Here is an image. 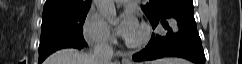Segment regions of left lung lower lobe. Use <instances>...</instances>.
<instances>
[{
  "instance_id": "1",
  "label": "left lung lower lobe",
  "mask_w": 242,
  "mask_h": 64,
  "mask_svg": "<svg viewBox=\"0 0 242 64\" xmlns=\"http://www.w3.org/2000/svg\"><path fill=\"white\" fill-rule=\"evenodd\" d=\"M173 21L178 31H173L168 21ZM163 25L165 36L152 34L148 45L133 55L134 61H147L163 57H182L196 64H205L201 39L197 32L192 0H185L163 10L151 21L152 28Z\"/></svg>"
}]
</instances>
